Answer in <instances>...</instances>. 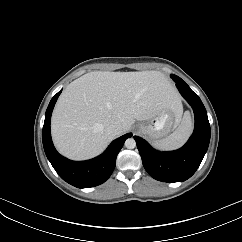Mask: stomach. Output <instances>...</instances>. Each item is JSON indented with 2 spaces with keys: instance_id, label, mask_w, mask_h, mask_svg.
<instances>
[{
  "instance_id": "obj_1",
  "label": "stomach",
  "mask_w": 242,
  "mask_h": 242,
  "mask_svg": "<svg viewBox=\"0 0 242 242\" xmlns=\"http://www.w3.org/2000/svg\"><path fill=\"white\" fill-rule=\"evenodd\" d=\"M180 114H175L170 110H164L157 117L151 119L147 123L140 125V130L147 135L153 142L167 136L176 128L180 121Z\"/></svg>"
}]
</instances>
